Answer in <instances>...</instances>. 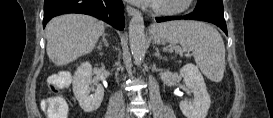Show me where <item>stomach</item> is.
<instances>
[{"label": "stomach", "mask_w": 273, "mask_h": 118, "mask_svg": "<svg viewBox=\"0 0 273 118\" xmlns=\"http://www.w3.org/2000/svg\"><path fill=\"white\" fill-rule=\"evenodd\" d=\"M166 41L167 40L165 38H161V39H158L156 42L164 44Z\"/></svg>", "instance_id": "stomach-1"}]
</instances>
